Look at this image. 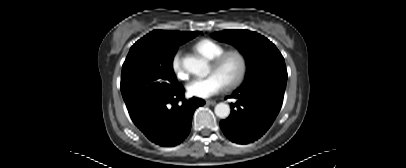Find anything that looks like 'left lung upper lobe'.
I'll return each instance as SVG.
<instances>
[{
	"mask_svg": "<svg viewBox=\"0 0 406 168\" xmlns=\"http://www.w3.org/2000/svg\"><path fill=\"white\" fill-rule=\"evenodd\" d=\"M212 37L234 45L246 58V80L236 91L256 87L285 89L288 75L284 58L267 38L248 30H224Z\"/></svg>",
	"mask_w": 406,
	"mask_h": 168,
	"instance_id": "5c2ea615",
	"label": "left lung upper lobe"
}]
</instances>
